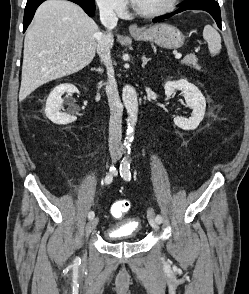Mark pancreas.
Masks as SVG:
<instances>
[{
  "instance_id": "cf45deb5",
  "label": "pancreas",
  "mask_w": 249,
  "mask_h": 294,
  "mask_svg": "<svg viewBox=\"0 0 249 294\" xmlns=\"http://www.w3.org/2000/svg\"><path fill=\"white\" fill-rule=\"evenodd\" d=\"M182 63L185 65L191 66L197 70L201 69L200 65L197 63V58L195 57V55H189V56L185 57L182 60Z\"/></svg>"
}]
</instances>
